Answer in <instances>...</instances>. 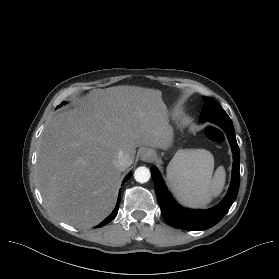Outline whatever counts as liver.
I'll return each instance as SVG.
<instances>
[{
  "label": "liver",
  "instance_id": "6515ba94",
  "mask_svg": "<svg viewBox=\"0 0 279 279\" xmlns=\"http://www.w3.org/2000/svg\"><path fill=\"white\" fill-rule=\"evenodd\" d=\"M172 137L160 90L111 87L56 114L42 132L36 163L47 210L79 229L97 225L115 206L118 154L133 161L137 147L167 149Z\"/></svg>",
  "mask_w": 279,
  "mask_h": 279
}]
</instances>
